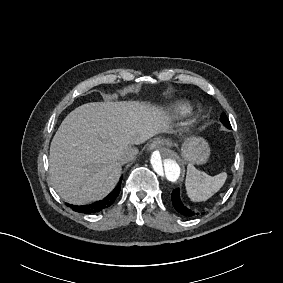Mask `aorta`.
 Instances as JSON below:
<instances>
[{"label":"aorta","mask_w":283,"mask_h":283,"mask_svg":"<svg viewBox=\"0 0 283 283\" xmlns=\"http://www.w3.org/2000/svg\"><path fill=\"white\" fill-rule=\"evenodd\" d=\"M151 170L155 178L162 184L177 183L183 174V162L179 155L171 149L161 148L152 153Z\"/></svg>","instance_id":"aorta-1"}]
</instances>
